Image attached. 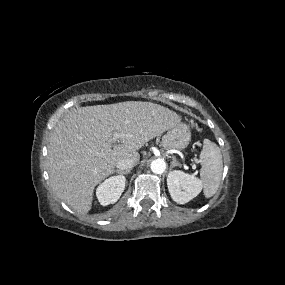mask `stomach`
I'll list each match as a JSON object with an SVG mask.
<instances>
[{
    "label": "stomach",
    "mask_w": 285,
    "mask_h": 285,
    "mask_svg": "<svg viewBox=\"0 0 285 285\" xmlns=\"http://www.w3.org/2000/svg\"><path fill=\"white\" fill-rule=\"evenodd\" d=\"M191 140L189 127L184 123L172 126L162 138V146L170 150H183Z\"/></svg>",
    "instance_id": "obj_1"
}]
</instances>
